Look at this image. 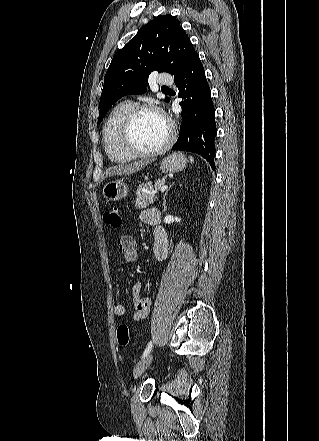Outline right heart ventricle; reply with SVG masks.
<instances>
[{
	"instance_id": "right-heart-ventricle-1",
	"label": "right heart ventricle",
	"mask_w": 319,
	"mask_h": 441,
	"mask_svg": "<svg viewBox=\"0 0 319 441\" xmlns=\"http://www.w3.org/2000/svg\"><path fill=\"white\" fill-rule=\"evenodd\" d=\"M131 107L132 104L127 101L115 105L103 127L104 148L109 159L114 162H127L133 158L119 144L120 125Z\"/></svg>"
}]
</instances>
